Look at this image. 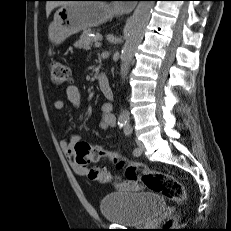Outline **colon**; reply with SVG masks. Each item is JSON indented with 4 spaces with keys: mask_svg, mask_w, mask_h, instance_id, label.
Returning <instances> with one entry per match:
<instances>
[{
    "mask_svg": "<svg viewBox=\"0 0 231 231\" xmlns=\"http://www.w3.org/2000/svg\"><path fill=\"white\" fill-rule=\"evenodd\" d=\"M51 80L56 86H65L72 80L71 69L62 61L51 62ZM76 162L79 165L97 163L102 160L113 162L118 169H123L128 181H141L150 191L160 193L167 199L182 203L186 199V191L183 184L173 175L150 170L143 163H129L119 152L106 150L99 146L90 145L87 142L78 141L75 146ZM91 180L101 183L111 181L112 175L101 168L91 167L88 173ZM177 221L174 217L167 223V228H171Z\"/></svg>",
    "mask_w": 231,
    "mask_h": 231,
    "instance_id": "1",
    "label": "colon"
}]
</instances>
